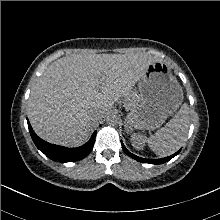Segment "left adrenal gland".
<instances>
[{"label":"left adrenal gland","mask_w":220,"mask_h":220,"mask_svg":"<svg viewBox=\"0 0 220 220\" xmlns=\"http://www.w3.org/2000/svg\"><path fill=\"white\" fill-rule=\"evenodd\" d=\"M125 130H126L127 133H129V129H128V124L127 123L125 124Z\"/></svg>","instance_id":"1"}]
</instances>
